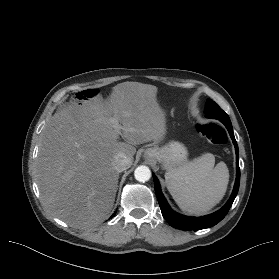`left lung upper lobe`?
<instances>
[{
    "label": "left lung upper lobe",
    "mask_w": 279,
    "mask_h": 279,
    "mask_svg": "<svg viewBox=\"0 0 279 279\" xmlns=\"http://www.w3.org/2000/svg\"><path fill=\"white\" fill-rule=\"evenodd\" d=\"M206 116L223 122H231L229 116L212 100L206 103Z\"/></svg>",
    "instance_id": "left-lung-upper-lobe-1"
}]
</instances>
